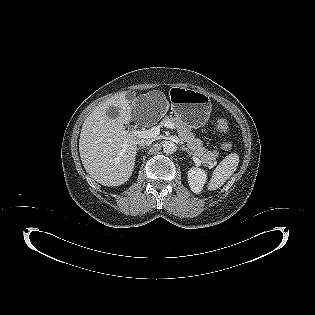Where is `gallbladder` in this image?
Returning a JSON list of instances; mask_svg holds the SVG:
<instances>
[{"instance_id": "obj_1", "label": "gallbladder", "mask_w": 315, "mask_h": 315, "mask_svg": "<svg viewBox=\"0 0 315 315\" xmlns=\"http://www.w3.org/2000/svg\"><path fill=\"white\" fill-rule=\"evenodd\" d=\"M106 114L109 118L116 119L119 116L118 109L114 106H111L107 109Z\"/></svg>"}]
</instances>
